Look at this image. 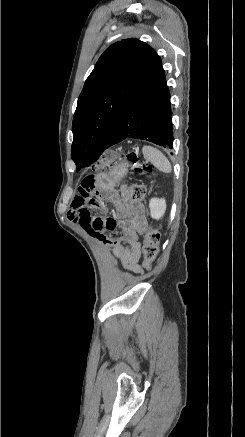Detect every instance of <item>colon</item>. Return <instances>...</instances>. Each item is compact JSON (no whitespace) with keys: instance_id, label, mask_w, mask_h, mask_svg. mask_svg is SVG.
I'll use <instances>...</instances> for the list:
<instances>
[{"instance_id":"5ec220e1","label":"colon","mask_w":245,"mask_h":437,"mask_svg":"<svg viewBox=\"0 0 245 437\" xmlns=\"http://www.w3.org/2000/svg\"><path fill=\"white\" fill-rule=\"evenodd\" d=\"M127 159L135 167L138 172L151 173L152 169L139 162L138 156L134 152L127 154ZM131 200L134 203H139L145 196V187L141 184H131L128 188ZM90 214V212H89ZM160 234L155 227H150L145 235L144 247H143V266L149 269L154 260L156 259L159 251Z\"/></svg>"}]
</instances>
